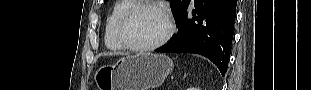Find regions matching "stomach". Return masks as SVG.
Returning <instances> with one entry per match:
<instances>
[{
  "mask_svg": "<svg viewBox=\"0 0 311 90\" xmlns=\"http://www.w3.org/2000/svg\"><path fill=\"white\" fill-rule=\"evenodd\" d=\"M172 69L168 56L143 52L100 67L95 82L98 90H149L160 86Z\"/></svg>",
  "mask_w": 311,
  "mask_h": 90,
  "instance_id": "stomach-1",
  "label": "stomach"
}]
</instances>
